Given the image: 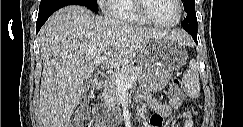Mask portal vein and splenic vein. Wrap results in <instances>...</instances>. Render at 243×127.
I'll return each instance as SVG.
<instances>
[{
	"label": "portal vein and splenic vein",
	"mask_w": 243,
	"mask_h": 127,
	"mask_svg": "<svg viewBox=\"0 0 243 127\" xmlns=\"http://www.w3.org/2000/svg\"><path fill=\"white\" fill-rule=\"evenodd\" d=\"M105 60V57L104 56H97L94 60H93V63L98 66L100 65L101 63H103ZM116 76V82L118 83V85L120 87H130L134 82H135V78L134 77H131L129 79H126L124 77V75L122 74H115Z\"/></svg>",
	"instance_id": "1"
}]
</instances>
